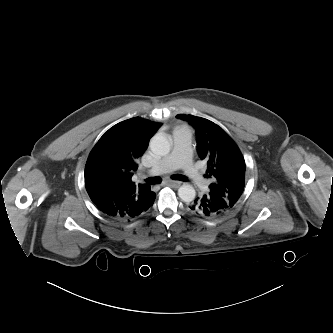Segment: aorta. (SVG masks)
Returning <instances> with one entry per match:
<instances>
[{"instance_id":"aorta-1","label":"aorta","mask_w":333,"mask_h":333,"mask_svg":"<svg viewBox=\"0 0 333 333\" xmlns=\"http://www.w3.org/2000/svg\"><path fill=\"white\" fill-rule=\"evenodd\" d=\"M150 149L156 155H167L171 149V144L168 137L162 133L155 134L151 138ZM178 195L182 201L190 203L195 199L196 191L192 185L183 184L178 189Z\"/></svg>"}]
</instances>
